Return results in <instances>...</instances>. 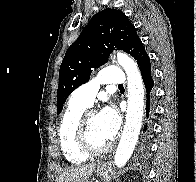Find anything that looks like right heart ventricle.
<instances>
[{
    "label": "right heart ventricle",
    "instance_id": "1",
    "mask_svg": "<svg viewBox=\"0 0 196 182\" xmlns=\"http://www.w3.org/2000/svg\"><path fill=\"white\" fill-rule=\"evenodd\" d=\"M86 108L87 106L71 99L59 124L61 150L66 160L75 165L84 163L88 158V156L77 149L74 141L76 123Z\"/></svg>",
    "mask_w": 196,
    "mask_h": 182
}]
</instances>
